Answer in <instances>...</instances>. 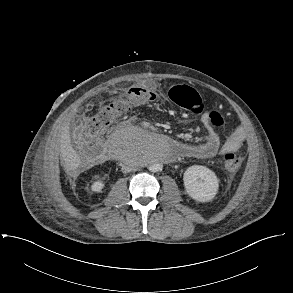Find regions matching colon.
<instances>
[{"mask_svg":"<svg viewBox=\"0 0 293 293\" xmlns=\"http://www.w3.org/2000/svg\"><path fill=\"white\" fill-rule=\"evenodd\" d=\"M172 100L191 112H201L203 102L197 91L188 86H176L171 91ZM154 93L148 88L136 86L127 90L119 99L102 106L86 121V135L94 138L102 134L105 129L123 114L131 109L152 102ZM208 124L214 129H220L225 123L224 115L218 110L207 113ZM224 167L229 172H235L241 165L240 156L233 152H226L223 156Z\"/></svg>","mask_w":293,"mask_h":293,"instance_id":"5ec220e1","label":"colon"}]
</instances>
